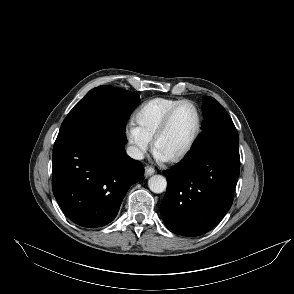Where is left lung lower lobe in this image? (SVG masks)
<instances>
[{
  "label": "left lung lower lobe",
  "mask_w": 294,
  "mask_h": 294,
  "mask_svg": "<svg viewBox=\"0 0 294 294\" xmlns=\"http://www.w3.org/2000/svg\"><path fill=\"white\" fill-rule=\"evenodd\" d=\"M238 145L235 127L204 131L186 160L163 172L168 184L161 216L171 232L194 237L223 219L239 177Z\"/></svg>",
  "instance_id": "left-lung-lower-lobe-1"
}]
</instances>
